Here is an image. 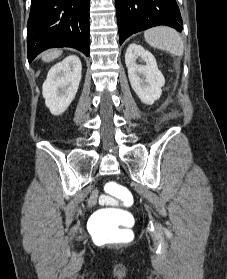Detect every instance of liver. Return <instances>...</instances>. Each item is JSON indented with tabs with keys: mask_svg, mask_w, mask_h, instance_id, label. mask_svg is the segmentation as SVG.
<instances>
[{
	"mask_svg": "<svg viewBox=\"0 0 227 279\" xmlns=\"http://www.w3.org/2000/svg\"><path fill=\"white\" fill-rule=\"evenodd\" d=\"M62 51L58 49L49 50L42 55V60L45 62H50L61 55Z\"/></svg>",
	"mask_w": 227,
	"mask_h": 279,
	"instance_id": "liver-1",
	"label": "liver"
}]
</instances>
